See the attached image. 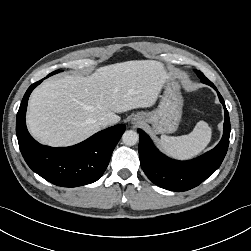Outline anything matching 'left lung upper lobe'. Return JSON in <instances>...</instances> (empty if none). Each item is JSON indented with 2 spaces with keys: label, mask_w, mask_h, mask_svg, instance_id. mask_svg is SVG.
<instances>
[{
  "label": "left lung upper lobe",
  "mask_w": 251,
  "mask_h": 251,
  "mask_svg": "<svg viewBox=\"0 0 251 251\" xmlns=\"http://www.w3.org/2000/svg\"><path fill=\"white\" fill-rule=\"evenodd\" d=\"M194 71L196 72V74L198 75V77L201 79V81L203 83L206 84L207 82H209V80L204 76V74L202 72H200L198 70H194Z\"/></svg>",
  "instance_id": "5c2ea615"
}]
</instances>
